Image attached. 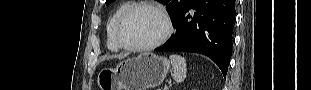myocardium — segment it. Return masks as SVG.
<instances>
[{"label":"myocardium","mask_w":311,"mask_h":90,"mask_svg":"<svg viewBox=\"0 0 311 90\" xmlns=\"http://www.w3.org/2000/svg\"><path fill=\"white\" fill-rule=\"evenodd\" d=\"M138 9H150V10L156 12L163 20L164 31H163L162 35L160 36V38H158L156 41H154L150 44L141 45V46H133V45H129L123 41V39L121 38V35H120V30H121V26H122L123 22L126 20V18L131 13H133L134 11H136ZM172 32H173L172 21L170 19V16L166 12V10L157 4L147 3V2L136 3V4H133L132 6H130L128 9H126L117 19L116 24H115V28H114V36H115V40H116L117 44L120 46V48H123V49H125L127 51H131V52H147V51L153 50V49L161 46L162 44H164L168 40V38L171 36Z\"/></svg>","instance_id":"f54148a6"}]
</instances>
